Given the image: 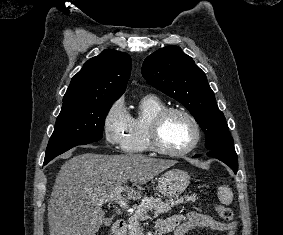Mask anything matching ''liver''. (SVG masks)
Wrapping results in <instances>:
<instances>
[{
	"label": "liver",
	"mask_w": 283,
	"mask_h": 235,
	"mask_svg": "<svg viewBox=\"0 0 283 235\" xmlns=\"http://www.w3.org/2000/svg\"><path fill=\"white\" fill-rule=\"evenodd\" d=\"M176 163L140 154L83 153L70 158L56 177L48 203L50 235H96L106 221L98 199L123 187L128 199L137 200L140 185ZM128 181L131 187L125 185Z\"/></svg>",
	"instance_id": "1"
}]
</instances>
